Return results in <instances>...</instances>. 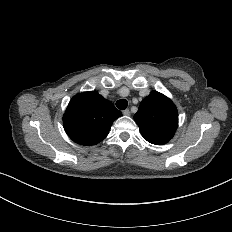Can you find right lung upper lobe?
I'll list each match as a JSON object with an SVG mask.
<instances>
[{"instance_id":"right-lung-upper-lobe-1","label":"right lung upper lobe","mask_w":232,"mask_h":232,"mask_svg":"<svg viewBox=\"0 0 232 232\" xmlns=\"http://www.w3.org/2000/svg\"><path fill=\"white\" fill-rule=\"evenodd\" d=\"M122 115L112 102L96 91L75 95L64 114V129L76 143L89 146L101 142L112 123Z\"/></svg>"}]
</instances>
